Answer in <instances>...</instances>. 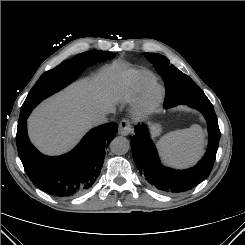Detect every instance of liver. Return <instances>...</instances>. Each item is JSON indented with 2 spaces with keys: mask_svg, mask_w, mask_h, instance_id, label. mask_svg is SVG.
<instances>
[{
  "mask_svg": "<svg viewBox=\"0 0 245 245\" xmlns=\"http://www.w3.org/2000/svg\"><path fill=\"white\" fill-rule=\"evenodd\" d=\"M129 74L125 64L115 62L43 101L28 119L33 144L48 155L69 151L98 115L115 112L130 97Z\"/></svg>",
  "mask_w": 245,
  "mask_h": 245,
  "instance_id": "obj_1",
  "label": "liver"
}]
</instances>
